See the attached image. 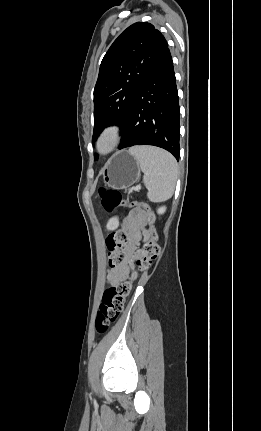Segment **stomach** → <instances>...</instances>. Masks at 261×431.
I'll list each match as a JSON object with an SVG mask.
<instances>
[{
	"label": "stomach",
	"instance_id": "1",
	"mask_svg": "<svg viewBox=\"0 0 261 431\" xmlns=\"http://www.w3.org/2000/svg\"><path fill=\"white\" fill-rule=\"evenodd\" d=\"M140 166L127 151L114 154L103 169L106 185L115 189H124L133 185L140 176Z\"/></svg>",
	"mask_w": 261,
	"mask_h": 431
}]
</instances>
